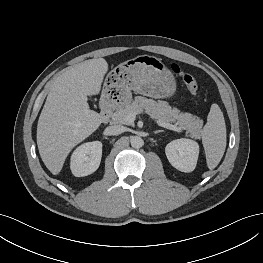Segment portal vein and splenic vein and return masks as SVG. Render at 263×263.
Segmentation results:
<instances>
[{"label": "portal vein and splenic vein", "mask_w": 263, "mask_h": 263, "mask_svg": "<svg viewBox=\"0 0 263 263\" xmlns=\"http://www.w3.org/2000/svg\"><path fill=\"white\" fill-rule=\"evenodd\" d=\"M135 117H136V114L130 113L129 115H127L126 119H127V121L133 123L135 120ZM156 123L163 128L173 130L176 132H182V128L178 127L177 125H173L171 123L160 122V121H156Z\"/></svg>", "instance_id": "portal-vein-and-splenic-vein-1"}]
</instances>
